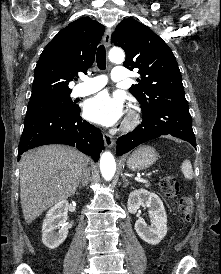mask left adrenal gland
Here are the masks:
<instances>
[{
    "instance_id": "left-adrenal-gland-1",
    "label": "left adrenal gland",
    "mask_w": 221,
    "mask_h": 274,
    "mask_svg": "<svg viewBox=\"0 0 221 274\" xmlns=\"http://www.w3.org/2000/svg\"><path fill=\"white\" fill-rule=\"evenodd\" d=\"M122 179H123V187H127L129 184H131L128 179L126 178L125 175H122Z\"/></svg>"
}]
</instances>
